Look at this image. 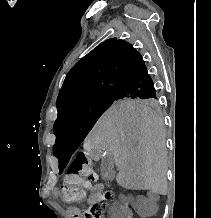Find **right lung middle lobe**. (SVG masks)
<instances>
[{
  "mask_svg": "<svg viewBox=\"0 0 211 218\" xmlns=\"http://www.w3.org/2000/svg\"><path fill=\"white\" fill-rule=\"evenodd\" d=\"M110 107L160 109L158 97H120L117 94L88 99L58 115L54 123L56 144L78 147L98 118Z\"/></svg>",
  "mask_w": 211,
  "mask_h": 218,
  "instance_id": "dd1d6c3e",
  "label": "right lung middle lobe"
}]
</instances>
